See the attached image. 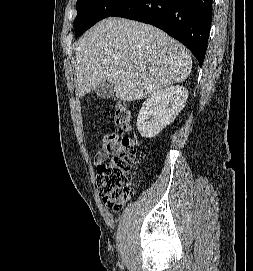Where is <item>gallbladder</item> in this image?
<instances>
[{"instance_id":"gallbladder-1","label":"gallbladder","mask_w":253,"mask_h":271,"mask_svg":"<svg viewBox=\"0 0 253 271\" xmlns=\"http://www.w3.org/2000/svg\"><path fill=\"white\" fill-rule=\"evenodd\" d=\"M95 92L102 99H110L114 96L115 87L108 81L102 80L96 87Z\"/></svg>"}]
</instances>
